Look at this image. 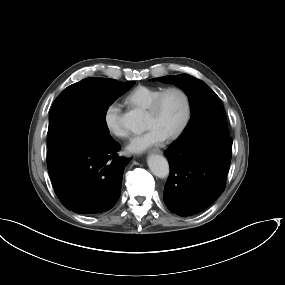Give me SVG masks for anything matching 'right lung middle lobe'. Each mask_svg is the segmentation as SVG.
Segmentation results:
<instances>
[{
    "label": "right lung middle lobe",
    "mask_w": 285,
    "mask_h": 285,
    "mask_svg": "<svg viewBox=\"0 0 285 285\" xmlns=\"http://www.w3.org/2000/svg\"><path fill=\"white\" fill-rule=\"evenodd\" d=\"M134 83L87 78L64 89L49 114L48 150L75 134L109 135L108 107Z\"/></svg>",
    "instance_id": "dd1d6c3e"
}]
</instances>
